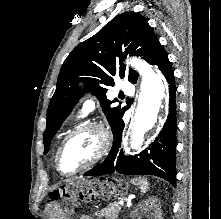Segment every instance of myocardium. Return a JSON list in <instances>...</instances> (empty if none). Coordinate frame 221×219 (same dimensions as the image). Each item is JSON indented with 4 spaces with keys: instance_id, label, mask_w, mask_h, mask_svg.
Segmentation results:
<instances>
[{
    "instance_id": "obj_1",
    "label": "myocardium",
    "mask_w": 221,
    "mask_h": 219,
    "mask_svg": "<svg viewBox=\"0 0 221 219\" xmlns=\"http://www.w3.org/2000/svg\"><path fill=\"white\" fill-rule=\"evenodd\" d=\"M89 130L97 131L100 136V145H99V149H98L97 154L94 156V158L90 162H88L83 167H81L73 172H70V173L63 172L60 169V165H59V159H60V154H61L62 150L68 144V142L72 138H74L76 135H78L82 132H85V131H89ZM111 143H112L111 132H110L109 128L104 123H102L100 121H88L84 124H81L78 127L71 130L64 137V139L62 140V142L58 146L57 151L55 153V159H54L55 168L60 175L65 176V177H72V176H75L81 172H84V171L92 168L93 166H95L97 163H99L106 156V154L108 153V151L111 147Z\"/></svg>"
}]
</instances>
